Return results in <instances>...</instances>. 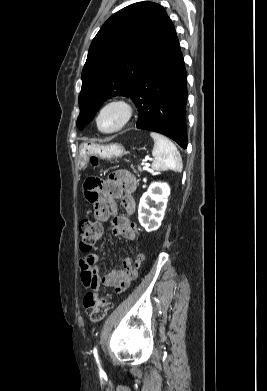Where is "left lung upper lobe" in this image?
<instances>
[{
  "mask_svg": "<svg viewBox=\"0 0 267 391\" xmlns=\"http://www.w3.org/2000/svg\"><path fill=\"white\" fill-rule=\"evenodd\" d=\"M175 36L166 11L156 3H134L112 15L93 39L82 71L78 128L89 123L112 96L130 97Z\"/></svg>",
  "mask_w": 267,
  "mask_h": 391,
  "instance_id": "obj_1",
  "label": "left lung upper lobe"
}]
</instances>
